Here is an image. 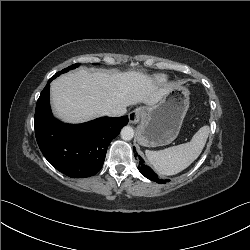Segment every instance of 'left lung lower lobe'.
I'll list each match as a JSON object with an SVG mask.
<instances>
[{
  "mask_svg": "<svg viewBox=\"0 0 250 250\" xmlns=\"http://www.w3.org/2000/svg\"><path fill=\"white\" fill-rule=\"evenodd\" d=\"M135 157H137L139 161L138 169L143 176L157 183L169 182L168 179L166 180L159 179L158 175L149 166L144 164V160L138 154H135Z\"/></svg>",
  "mask_w": 250,
  "mask_h": 250,
  "instance_id": "0a47b994",
  "label": "left lung lower lobe"
}]
</instances>
